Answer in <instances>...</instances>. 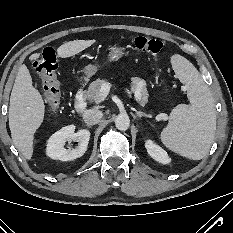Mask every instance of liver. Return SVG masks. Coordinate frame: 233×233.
Here are the masks:
<instances>
[{"label": "liver", "mask_w": 233, "mask_h": 233, "mask_svg": "<svg viewBox=\"0 0 233 233\" xmlns=\"http://www.w3.org/2000/svg\"><path fill=\"white\" fill-rule=\"evenodd\" d=\"M95 43V40H74L61 45L57 54L61 58L74 56ZM40 58V53L29 57L30 61ZM45 105L40 92L33 87L26 65H21L10 96L9 128L15 147L31 160L36 130L44 120Z\"/></svg>", "instance_id": "6515ba94"}]
</instances>
